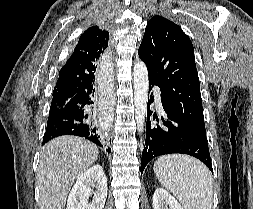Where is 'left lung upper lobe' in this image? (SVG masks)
Wrapping results in <instances>:
<instances>
[{
  "label": "left lung upper lobe",
  "instance_id": "left-lung-upper-lobe-1",
  "mask_svg": "<svg viewBox=\"0 0 253 209\" xmlns=\"http://www.w3.org/2000/svg\"><path fill=\"white\" fill-rule=\"evenodd\" d=\"M138 54L168 107L189 126L206 134L194 48L189 37L172 21L154 16L146 26Z\"/></svg>",
  "mask_w": 253,
  "mask_h": 209
}]
</instances>
